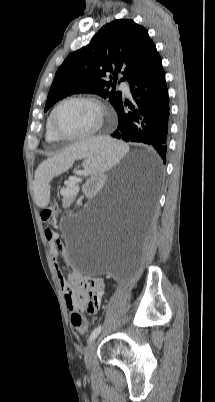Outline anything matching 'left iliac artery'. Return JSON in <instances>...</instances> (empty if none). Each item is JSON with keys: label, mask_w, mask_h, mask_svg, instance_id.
<instances>
[{"label": "left iliac artery", "mask_w": 215, "mask_h": 402, "mask_svg": "<svg viewBox=\"0 0 215 402\" xmlns=\"http://www.w3.org/2000/svg\"><path fill=\"white\" fill-rule=\"evenodd\" d=\"M101 329H102V326L99 325L92 331V333L90 335V338H89V342H91L92 340H94L98 336V334L100 333Z\"/></svg>", "instance_id": "obj_1"}]
</instances>
